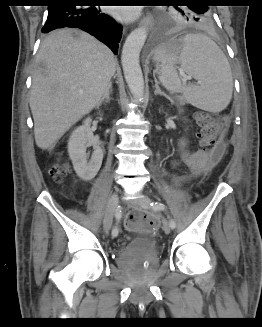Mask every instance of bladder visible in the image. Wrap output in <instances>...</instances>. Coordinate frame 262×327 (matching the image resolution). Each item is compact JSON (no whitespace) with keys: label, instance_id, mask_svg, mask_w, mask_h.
Wrapping results in <instances>:
<instances>
[{"label":"bladder","instance_id":"bladder-1","mask_svg":"<svg viewBox=\"0 0 262 327\" xmlns=\"http://www.w3.org/2000/svg\"><path fill=\"white\" fill-rule=\"evenodd\" d=\"M148 252L154 257L158 256L157 248L155 247L152 238L144 235H137L131 238L119 251V259L129 257L138 252Z\"/></svg>","mask_w":262,"mask_h":327}]
</instances>
